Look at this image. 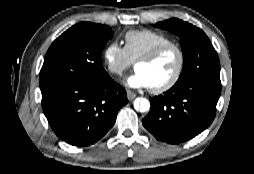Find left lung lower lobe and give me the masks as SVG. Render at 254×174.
<instances>
[{
    "mask_svg": "<svg viewBox=\"0 0 254 174\" xmlns=\"http://www.w3.org/2000/svg\"><path fill=\"white\" fill-rule=\"evenodd\" d=\"M221 87V81L215 79L173 86L164 95L150 98L151 109L143 126L169 144L192 139L214 120Z\"/></svg>",
    "mask_w": 254,
    "mask_h": 174,
    "instance_id": "0a47b994",
    "label": "left lung lower lobe"
}]
</instances>
